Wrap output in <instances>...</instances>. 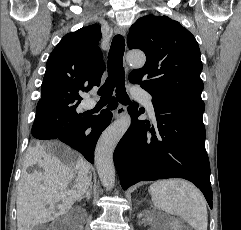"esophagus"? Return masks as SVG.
<instances>
[{"label":"esophagus","instance_id":"esophagus-1","mask_svg":"<svg viewBox=\"0 0 241 230\" xmlns=\"http://www.w3.org/2000/svg\"><path fill=\"white\" fill-rule=\"evenodd\" d=\"M115 33L116 34H121L123 36H125L126 32H125V29L121 26H117L115 28ZM126 72H128V67L126 66ZM126 114V106L123 105V104H119L115 114H114V119L115 120H118L120 118H122L123 116H125Z\"/></svg>","mask_w":241,"mask_h":230}]
</instances>
